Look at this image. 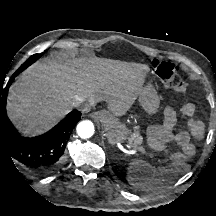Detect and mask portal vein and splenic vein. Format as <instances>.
I'll list each match as a JSON object with an SVG mask.
<instances>
[{
  "label": "portal vein and splenic vein",
  "mask_w": 216,
  "mask_h": 216,
  "mask_svg": "<svg viewBox=\"0 0 216 216\" xmlns=\"http://www.w3.org/2000/svg\"><path fill=\"white\" fill-rule=\"evenodd\" d=\"M129 148H133V149H137V150H140V151H144L143 148L141 147H134V146H128Z\"/></svg>",
  "instance_id": "portal-vein-and-splenic-vein-1"
}]
</instances>
